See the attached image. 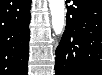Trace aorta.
<instances>
[{"instance_id":"1","label":"aorta","mask_w":102,"mask_h":75,"mask_svg":"<svg viewBox=\"0 0 102 75\" xmlns=\"http://www.w3.org/2000/svg\"><path fill=\"white\" fill-rule=\"evenodd\" d=\"M64 0H49L52 28L56 35H61L65 26Z\"/></svg>"}]
</instances>
